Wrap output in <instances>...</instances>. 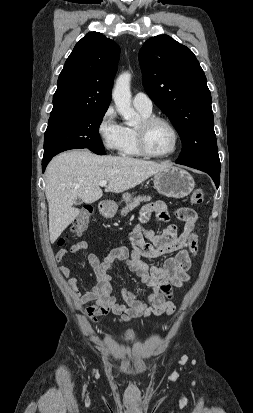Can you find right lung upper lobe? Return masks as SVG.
I'll return each instance as SVG.
<instances>
[{"label":"right lung upper lobe","instance_id":"1","mask_svg":"<svg viewBox=\"0 0 253 413\" xmlns=\"http://www.w3.org/2000/svg\"><path fill=\"white\" fill-rule=\"evenodd\" d=\"M119 53L120 47L98 32L79 40L59 75L50 116L107 110Z\"/></svg>","mask_w":253,"mask_h":413}]
</instances>
